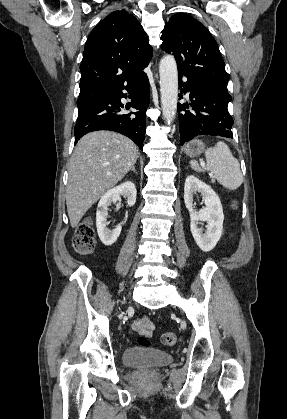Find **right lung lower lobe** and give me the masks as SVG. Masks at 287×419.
<instances>
[{
  "label": "right lung lower lobe",
  "mask_w": 287,
  "mask_h": 419,
  "mask_svg": "<svg viewBox=\"0 0 287 419\" xmlns=\"http://www.w3.org/2000/svg\"><path fill=\"white\" fill-rule=\"evenodd\" d=\"M123 89L128 91V97L132 99L128 107L121 103V98L127 97V94L122 92ZM123 89L102 97L79 113L74 128L75 144L89 132L110 130L129 137L142 149L146 132V110L150 101L147 75L144 74ZM130 107L138 111L125 113V109Z\"/></svg>",
  "instance_id": "1"
}]
</instances>
